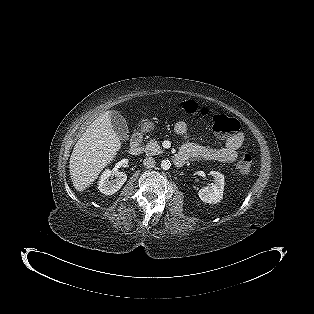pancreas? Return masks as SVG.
<instances>
[{
    "label": "pancreas",
    "instance_id": "1",
    "mask_svg": "<svg viewBox=\"0 0 314 314\" xmlns=\"http://www.w3.org/2000/svg\"><path fill=\"white\" fill-rule=\"evenodd\" d=\"M144 152L146 155H159L163 153L162 148L156 141V139H151L144 147Z\"/></svg>",
    "mask_w": 314,
    "mask_h": 314
}]
</instances>
